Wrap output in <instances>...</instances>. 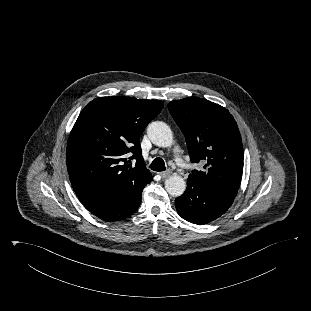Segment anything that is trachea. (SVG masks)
<instances>
[{"instance_id": "trachea-1", "label": "trachea", "mask_w": 311, "mask_h": 311, "mask_svg": "<svg viewBox=\"0 0 311 311\" xmlns=\"http://www.w3.org/2000/svg\"><path fill=\"white\" fill-rule=\"evenodd\" d=\"M150 168L154 171L161 172L166 170L165 162L162 158H155L150 164Z\"/></svg>"}]
</instances>
